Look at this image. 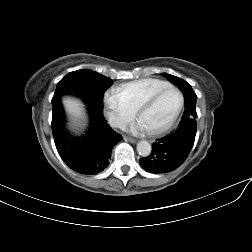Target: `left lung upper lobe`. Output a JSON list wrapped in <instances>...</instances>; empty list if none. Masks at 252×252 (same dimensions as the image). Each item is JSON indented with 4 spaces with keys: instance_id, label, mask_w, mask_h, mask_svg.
Returning <instances> with one entry per match:
<instances>
[{
    "instance_id": "obj_1",
    "label": "left lung upper lobe",
    "mask_w": 252,
    "mask_h": 252,
    "mask_svg": "<svg viewBox=\"0 0 252 252\" xmlns=\"http://www.w3.org/2000/svg\"><path fill=\"white\" fill-rule=\"evenodd\" d=\"M167 79L173 84L179 85L181 90L186 89V88L192 89V87L186 81L176 76L168 74Z\"/></svg>"
}]
</instances>
